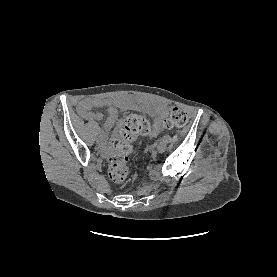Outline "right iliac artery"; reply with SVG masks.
<instances>
[{"instance_id":"1","label":"right iliac artery","mask_w":277,"mask_h":277,"mask_svg":"<svg viewBox=\"0 0 277 277\" xmlns=\"http://www.w3.org/2000/svg\"><path fill=\"white\" fill-rule=\"evenodd\" d=\"M98 137H99V138L104 137V132H102V131H101V132H99V133H98Z\"/></svg>"}]
</instances>
